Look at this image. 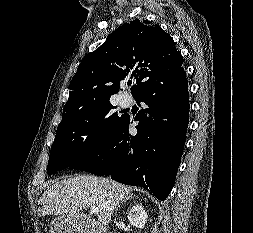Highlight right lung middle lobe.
<instances>
[{"instance_id": "right-lung-middle-lobe-1", "label": "right lung middle lobe", "mask_w": 253, "mask_h": 233, "mask_svg": "<svg viewBox=\"0 0 253 233\" xmlns=\"http://www.w3.org/2000/svg\"><path fill=\"white\" fill-rule=\"evenodd\" d=\"M109 101L66 116L58 125L51 147L47 174L72 168L98 154L109 142L124 115L110 114Z\"/></svg>"}]
</instances>
